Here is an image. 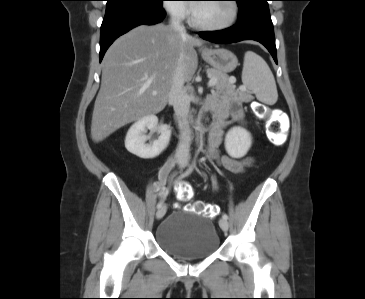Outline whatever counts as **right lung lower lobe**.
I'll use <instances>...</instances> for the list:
<instances>
[{
  "instance_id": "obj_1",
  "label": "right lung lower lobe",
  "mask_w": 365,
  "mask_h": 299,
  "mask_svg": "<svg viewBox=\"0 0 365 299\" xmlns=\"http://www.w3.org/2000/svg\"><path fill=\"white\" fill-rule=\"evenodd\" d=\"M165 16L162 4L130 3L106 9L100 31V62L119 36L142 24L159 23Z\"/></svg>"
}]
</instances>
